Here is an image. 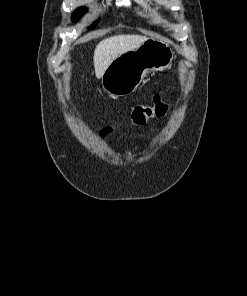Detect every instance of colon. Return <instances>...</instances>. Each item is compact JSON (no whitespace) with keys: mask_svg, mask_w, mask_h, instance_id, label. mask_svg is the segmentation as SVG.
I'll return each instance as SVG.
<instances>
[{"mask_svg":"<svg viewBox=\"0 0 247 296\" xmlns=\"http://www.w3.org/2000/svg\"><path fill=\"white\" fill-rule=\"evenodd\" d=\"M167 104L162 100L160 95L154 96L152 102L148 105H137L133 108L131 116L132 120L137 124L145 123L153 117H161L167 111ZM109 128H104L102 132L105 134Z\"/></svg>","mask_w":247,"mask_h":296,"instance_id":"colon-1","label":"colon"}]
</instances>
